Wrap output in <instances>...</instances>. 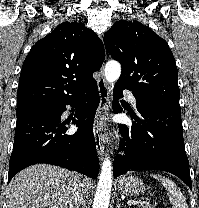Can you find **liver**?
I'll return each instance as SVG.
<instances>
[{
    "label": "liver",
    "mask_w": 199,
    "mask_h": 208,
    "mask_svg": "<svg viewBox=\"0 0 199 208\" xmlns=\"http://www.w3.org/2000/svg\"><path fill=\"white\" fill-rule=\"evenodd\" d=\"M79 179L89 197L93 184L87 177L49 164L27 167L10 182L7 208H68Z\"/></svg>",
    "instance_id": "obj_1"
}]
</instances>
